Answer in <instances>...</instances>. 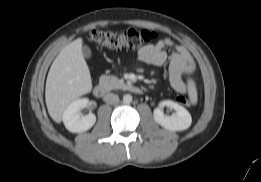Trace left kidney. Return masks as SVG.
Listing matches in <instances>:
<instances>
[{"instance_id":"obj_1","label":"left kidney","mask_w":261,"mask_h":182,"mask_svg":"<svg viewBox=\"0 0 261 182\" xmlns=\"http://www.w3.org/2000/svg\"><path fill=\"white\" fill-rule=\"evenodd\" d=\"M165 106L174 109L176 113L170 116L165 115L162 110ZM153 117L156 123L170 131L186 130L192 123L190 113L184 107L171 100L160 102L153 112Z\"/></svg>"}]
</instances>
